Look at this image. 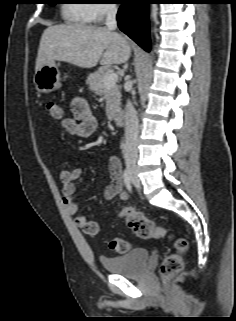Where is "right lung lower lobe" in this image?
I'll return each instance as SVG.
<instances>
[{
  "label": "right lung lower lobe",
  "instance_id": "98d812e1",
  "mask_svg": "<svg viewBox=\"0 0 236 321\" xmlns=\"http://www.w3.org/2000/svg\"><path fill=\"white\" fill-rule=\"evenodd\" d=\"M122 4L117 21L119 28L144 50L150 51L148 4L153 0H117Z\"/></svg>",
  "mask_w": 236,
  "mask_h": 321
}]
</instances>
